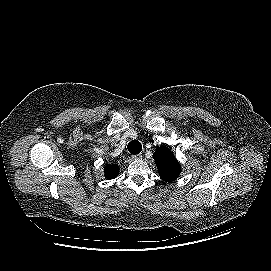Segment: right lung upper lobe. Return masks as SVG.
Segmentation results:
<instances>
[{"label":"right lung upper lobe","instance_id":"cb5924a9","mask_svg":"<svg viewBox=\"0 0 271 271\" xmlns=\"http://www.w3.org/2000/svg\"><path fill=\"white\" fill-rule=\"evenodd\" d=\"M104 171H105V177L107 179H113L118 175L119 168L117 165L108 164L105 166Z\"/></svg>","mask_w":271,"mask_h":271}]
</instances>
